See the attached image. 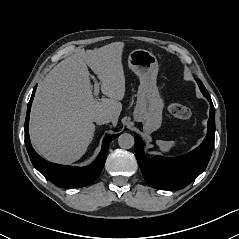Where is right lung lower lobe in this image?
I'll use <instances>...</instances> for the list:
<instances>
[{"label": "right lung lower lobe", "mask_w": 239, "mask_h": 239, "mask_svg": "<svg viewBox=\"0 0 239 239\" xmlns=\"http://www.w3.org/2000/svg\"><path fill=\"white\" fill-rule=\"evenodd\" d=\"M35 86L28 104L25 120V144L34 167L49 181L61 188H79L94 182L100 175L106 161L109 144L120 134L111 135L104 139L102 150L96 161L87 167H72L50 163L41 158L33 149L28 132L31 103L34 98Z\"/></svg>", "instance_id": "1"}]
</instances>
